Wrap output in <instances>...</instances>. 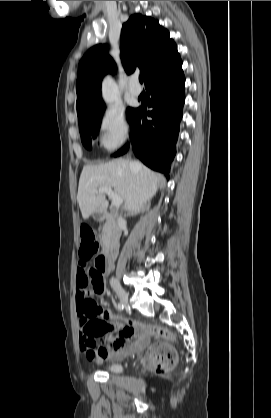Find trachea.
Segmentation results:
<instances>
[{
  "instance_id": "trachea-1",
  "label": "trachea",
  "mask_w": 271,
  "mask_h": 418,
  "mask_svg": "<svg viewBox=\"0 0 271 418\" xmlns=\"http://www.w3.org/2000/svg\"><path fill=\"white\" fill-rule=\"evenodd\" d=\"M139 81L142 84L143 83V78L142 77H139Z\"/></svg>"
}]
</instances>
